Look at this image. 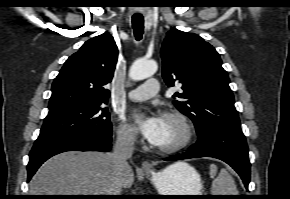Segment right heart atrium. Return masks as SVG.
I'll use <instances>...</instances> for the list:
<instances>
[{"mask_svg":"<svg viewBox=\"0 0 290 199\" xmlns=\"http://www.w3.org/2000/svg\"><path fill=\"white\" fill-rule=\"evenodd\" d=\"M116 135L118 141L122 144L133 146L137 143L135 130L123 120H120L117 125Z\"/></svg>","mask_w":290,"mask_h":199,"instance_id":"1","label":"right heart atrium"}]
</instances>
